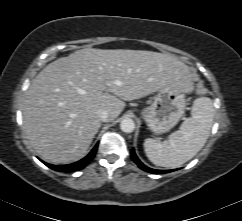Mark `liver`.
<instances>
[{"mask_svg":"<svg viewBox=\"0 0 242 221\" xmlns=\"http://www.w3.org/2000/svg\"><path fill=\"white\" fill-rule=\"evenodd\" d=\"M189 66L172 54L144 50L85 48L48 64L31 82L23 103V129L46 162L68 164L83 158L101 127L124 101L143 98L165 86L193 88Z\"/></svg>","mask_w":242,"mask_h":221,"instance_id":"1","label":"liver"}]
</instances>
